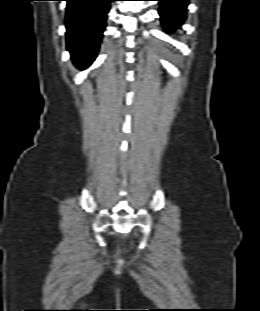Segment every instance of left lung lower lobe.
<instances>
[{
    "label": "left lung lower lobe",
    "mask_w": 260,
    "mask_h": 311,
    "mask_svg": "<svg viewBox=\"0 0 260 311\" xmlns=\"http://www.w3.org/2000/svg\"><path fill=\"white\" fill-rule=\"evenodd\" d=\"M188 0H160V16L166 30L178 28L185 19Z\"/></svg>",
    "instance_id": "obj_1"
}]
</instances>
